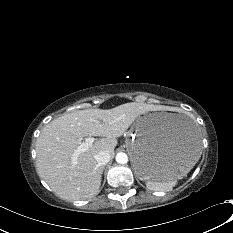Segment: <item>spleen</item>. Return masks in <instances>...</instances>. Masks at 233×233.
<instances>
[{"instance_id": "obj_1", "label": "spleen", "mask_w": 233, "mask_h": 233, "mask_svg": "<svg viewBox=\"0 0 233 233\" xmlns=\"http://www.w3.org/2000/svg\"><path fill=\"white\" fill-rule=\"evenodd\" d=\"M177 179L178 178H174L163 181L149 180L146 185L150 190L164 191L172 188L176 184Z\"/></svg>"}]
</instances>
